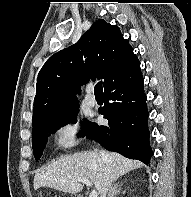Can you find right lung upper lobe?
Masks as SVG:
<instances>
[{"mask_svg":"<svg viewBox=\"0 0 191 197\" xmlns=\"http://www.w3.org/2000/svg\"><path fill=\"white\" fill-rule=\"evenodd\" d=\"M140 65L120 29L96 21L79 41L52 55L38 73L32 126L78 105L76 93L90 79L103 86Z\"/></svg>","mask_w":191,"mask_h":197,"instance_id":"obj_1","label":"right lung upper lobe"}]
</instances>
